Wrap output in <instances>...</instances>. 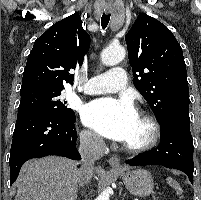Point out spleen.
Here are the masks:
<instances>
[{"label": "spleen", "mask_w": 201, "mask_h": 200, "mask_svg": "<svg viewBox=\"0 0 201 200\" xmlns=\"http://www.w3.org/2000/svg\"><path fill=\"white\" fill-rule=\"evenodd\" d=\"M166 181L171 187H173L175 189L177 195H179L181 198H183V196H182L183 190H182L181 186L179 185V183L176 180L172 179L171 177H167Z\"/></svg>", "instance_id": "spleen-1"}]
</instances>
